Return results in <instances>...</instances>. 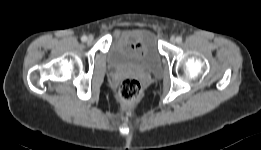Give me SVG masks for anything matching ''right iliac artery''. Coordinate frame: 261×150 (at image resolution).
Wrapping results in <instances>:
<instances>
[{
    "label": "right iliac artery",
    "instance_id": "right-iliac-artery-1",
    "mask_svg": "<svg viewBox=\"0 0 261 150\" xmlns=\"http://www.w3.org/2000/svg\"><path fill=\"white\" fill-rule=\"evenodd\" d=\"M81 40H82L83 42H85V41L87 40V37H86V36H82V37H81Z\"/></svg>",
    "mask_w": 261,
    "mask_h": 150
}]
</instances>
